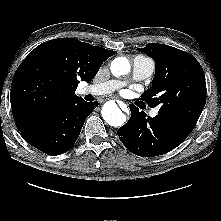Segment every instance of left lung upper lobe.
I'll list each match as a JSON object with an SVG mask.
<instances>
[{
	"label": "left lung upper lobe",
	"instance_id": "1",
	"mask_svg": "<svg viewBox=\"0 0 221 221\" xmlns=\"http://www.w3.org/2000/svg\"><path fill=\"white\" fill-rule=\"evenodd\" d=\"M139 51L156 63L152 87L142 94L151 107L160 106L158 115L190 134L206 103V82L199 62L177 48L149 43Z\"/></svg>",
	"mask_w": 221,
	"mask_h": 221
}]
</instances>
